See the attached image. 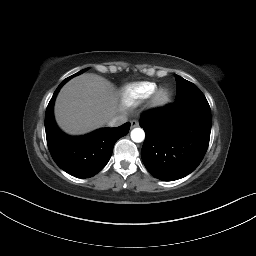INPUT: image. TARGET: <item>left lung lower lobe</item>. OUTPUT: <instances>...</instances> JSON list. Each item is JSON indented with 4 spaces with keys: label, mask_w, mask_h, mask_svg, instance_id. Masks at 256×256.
<instances>
[{
    "label": "left lung lower lobe",
    "mask_w": 256,
    "mask_h": 256,
    "mask_svg": "<svg viewBox=\"0 0 256 256\" xmlns=\"http://www.w3.org/2000/svg\"><path fill=\"white\" fill-rule=\"evenodd\" d=\"M141 157L156 178L173 181L193 172L210 140L211 110L205 97L176 101L142 115Z\"/></svg>",
    "instance_id": "left-lung-lower-lobe-1"
}]
</instances>
